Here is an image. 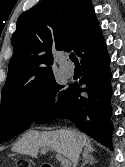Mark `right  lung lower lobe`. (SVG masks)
Here are the masks:
<instances>
[{
  "mask_svg": "<svg viewBox=\"0 0 125 167\" xmlns=\"http://www.w3.org/2000/svg\"><path fill=\"white\" fill-rule=\"evenodd\" d=\"M79 57L83 69L79 84H71L63 100L52 105L35 122L70 119L82 132L112 149L110 57L101 31L82 49ZM82 92L86 94L83 96Z\"/></svg>",
  "mask_w": 125,
  "mask_h": 167,
  "instance_id": "right-lung-lower-lobe-1",
  "label": "right lung lower lobe"
}]
</instances>
